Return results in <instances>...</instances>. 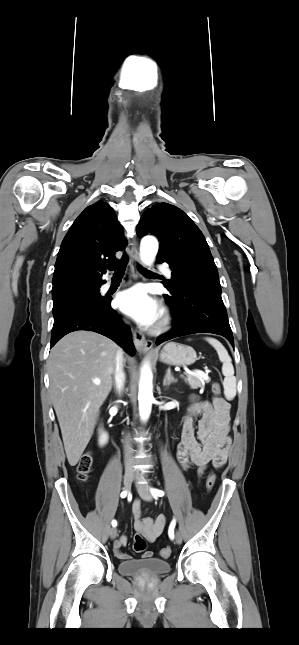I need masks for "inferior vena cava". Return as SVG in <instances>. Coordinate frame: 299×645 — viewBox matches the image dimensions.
<instances>
[{
  "label": "inferior vena cava",
  "mask_w": 299,
  "mask_h": 645,
  "mask_svg": "<svg viewBox=\"0 0 299 645\" xmlns=\"http://www.w3.org/2000/svg\"><path fill=\"white\" fill-rule=\"evenodd\" d=\"M115 387L118 394H120L125 384V373L123 370V352L119 350L115 359L114 370ZM124 455H125V470L133 472L132 448L128 438L124 440Z\"/></svg>",
  "instance_id": "1"
}]
</instances>
